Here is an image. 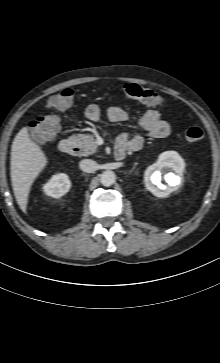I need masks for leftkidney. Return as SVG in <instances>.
<instances>
[{"label": "left kidney", "instance_id": "1", "mask_svg": "<svg viewBox=\"0 0 220 363\" xmlns=\"http://www.w3.org/2000/svg\"><path fill=\"white\" fill-rule=\"evenodd\" d=\"M184 168V160L178 153L174 151L163 152L160 154L157 162L145 170V186L153 195L167 197L180 184ZM162 174H165L164 179L167 185L161 183Z\"/></svg>", "mask_w": 220, "mask_h": 363}]
</instances>
